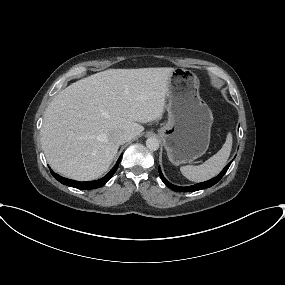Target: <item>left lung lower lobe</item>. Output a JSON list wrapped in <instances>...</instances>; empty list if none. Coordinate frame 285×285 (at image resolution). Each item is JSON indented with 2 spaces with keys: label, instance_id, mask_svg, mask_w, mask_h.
<instances>
[{
  "label": "left lung lower lobe",
  "instance_id": "0a47b994",
  "mask_svg": "<svg viewBox=\"0 0 285 285\" xmlns=\"http://www.w3.org/2000/svg\"><path fill=\"white\" fill-rule=\"evenodd\" d=\"M231 165V163H229L222 171L221 173L216 176L215 178H212L206 182H202V183H198L196 185H193V186H188V187H179V186H175L173 184H171L170 182H168L161 170L159 169V174H160V177L162 179V181L169 187L171 188L172 190L174 191H177V192H194V191H198V190H202V189H205V188H208V187H211L213 186L214 184H216L223 176L224 174L226 173V171L228 170L229 166Z\"/></svg>",
  "mask_w": 285,
  "mask_h": 285
}]
</instances>
